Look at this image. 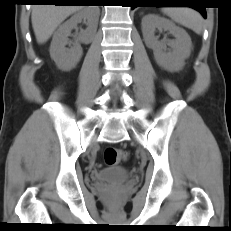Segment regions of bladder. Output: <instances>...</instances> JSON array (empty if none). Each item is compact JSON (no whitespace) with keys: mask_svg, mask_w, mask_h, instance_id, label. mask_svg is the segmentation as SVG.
<instances>
[{"mask_svg":"<svg viewBox=\"0 0 231 231\" xmlns=\"http://www.w3.org/2000/svg\"><path fill=\"white\" fill-rule=\"evenodd\" d=\"M130 172L124 167L103 169L93 176V180L100 184H113L126 181L130 178Z\"/></svg>","mask_w":231,"mask_h":231,"instance_id":"31cf9c89","label":"bladder"}]
</instances>
